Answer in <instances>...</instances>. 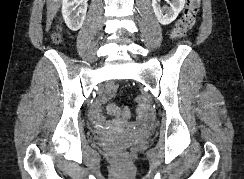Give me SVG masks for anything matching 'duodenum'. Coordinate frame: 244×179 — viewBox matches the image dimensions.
Returning <instances> with one entry per match:
<instances>
[{
  "label": "duodenum",
  "mask_w": 244,
  "mask_h": 179,
  "mask_svg": "<svg viewBox=\"0 0 244 179\" xmlns=\"http://www.w3.org/2000/svg\"><path fill=\"white\" fill-rule=\"evenodd\" d=\"M115 88V86H112L111 89L113 90Z\"/></svg>",
  "instance_id": "1"
}]
</instances>
